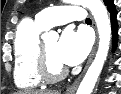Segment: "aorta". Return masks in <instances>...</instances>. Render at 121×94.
Masks as SVG:
<instances>
[{
	"instance_id": "762f6f07",
	"label": "aorta",
	"mask_w": 121,
	"mask_h": 94,
	"mask_svg": "<svg viewBox=\"0 0 121 94\" xmlns=\"http://www.w3.org/2000/svg\"><path fill=\"white\" fill-rule=\"evenodd\" d=\"M64 2L81 4L87 7L94 16L97 24L99 34L98 51L77 90V94H91L101 73L109 50L111 40V25L108 12L102 0H64ZM43 38H58V34L54 31H50L49 33H45Z\"/></svg>"
}]
</instances>
